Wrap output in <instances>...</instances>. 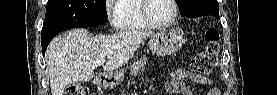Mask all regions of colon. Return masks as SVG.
Returning a JSON list of instances; mask_svg holds the SVG:
<instances>
[{
	"label": "colon",
	"instance_id": "obj_1",
	"mask_svg": "<svg viewBox=\"0 0 277 95\" xmlns=\"http://www.w3.org/2000/svg\"><path fill=\"white\" fill-rule=\"evenodd\" d=\"M205 39L207 45L199 52L192 61L193 70L202 75L209 74L217 65L220 48V34L217 29L210 28L206 31ZM69 95H88L89 90L83 86H69L66 88Z\"/></svg>",
	"mask_w": 277,
	"mask_h": 95
}]
</instances>
